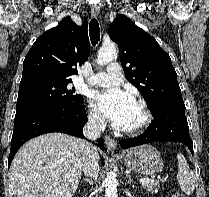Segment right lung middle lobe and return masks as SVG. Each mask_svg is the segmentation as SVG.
Wrapping results in <instances>:
<instances>
[{
    "label": "right lung middle lobe",
    "instance_id": "right-lung-middle-lobe-1",
    "mask_svg": "<svg viewBox=\"0 0 209 197\" xmlns=\"http://www.w3.org/2000/svg\"><path fill=\"white\" fill-rule=\"evenodd\" d=\"M72 80H38L20 84L16 113L50 105H79L83 97L75 94Z\"/></svg>",
    "mask_w": 209,
    "mask_h": 197
}]
</instances>
